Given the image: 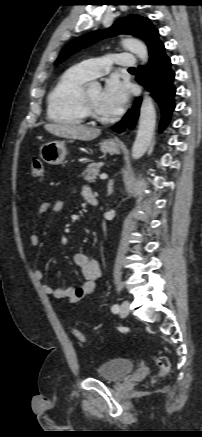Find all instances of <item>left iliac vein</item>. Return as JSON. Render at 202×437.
<instances>
[{"label": "left iliac vein", "mask_w": 202, "mask_h": 437, "mask_svg": "<svg viewBox=\"0 0 202 437\" xmlns=\"http://www.w3.org/2000/svg\"><path fill=\"white\" fill-rule=\"evenodd\" d=\"M129 306H130V304H129V302L128 301H124L122 304H121V308H120V315L122 316V317H126L128 314H129V312H130V308H129Z\"/></svg>", "instance_id": "4c4485c4"}]
</instances>
